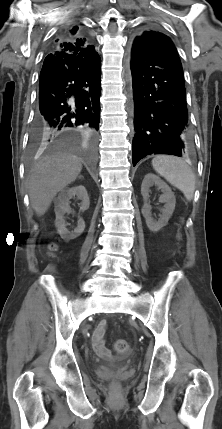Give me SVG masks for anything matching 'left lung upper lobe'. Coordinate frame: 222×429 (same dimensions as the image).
<instances>
[{
	"label": "left lung upper lobe",
	"mask_w": 222,
	"mask_h": 429,
	"mask_svg": "<svg viewBox=\"0 0 222 429\" xmlns=\"http://www.w3.org/2000/svg\"><path fill=\"white\" fill-rule=\"evenodd\" d=\"M155 35H164L163 33H160V32H157V31H154V30H146V31H144V32H141V33H139L136 37H135V39H134V43L135 42H137V41H142V42H144L145 43V41H150V40H148V39H151V38H155V37H157V36H155ZM144 45H147V44H144Z\"/></svg>",
	"instance_id": "1"
}]
</instances>
